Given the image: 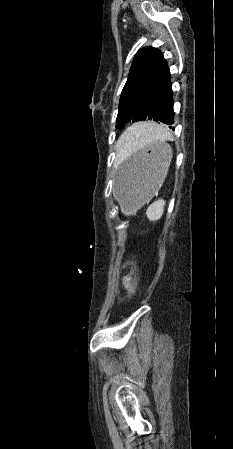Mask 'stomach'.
Instances as JSON below:
<instances>
[{
    "label": "stomach",
    "instance_id": "stomach-1",
    "mask_svg": "<svg viewBox=\"0 0 233 449\" xmlns=\"http://www.w3.org/2000/svg\"><path fill=\"white\" fill-rule=\"evenodd\" d=\"M170 159L169 145L154 143L121 166L114 199L119 201L124 214H132L152 200L163 182Z\"/></svg>",
    "mask_w": 233,
    "mask_h": 449
}]
</instances>
